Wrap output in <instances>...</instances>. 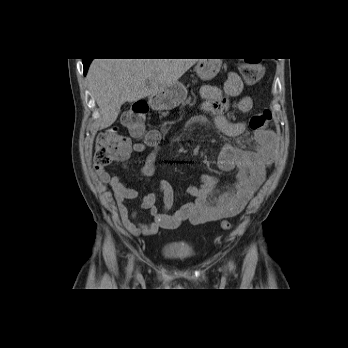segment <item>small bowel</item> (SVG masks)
Listing matches in <instances>:
<instances>
[{
	"label": "small bowel",
	"instance_id": "small-bowel-1",
	"mask_svg": "<svg viewBox=\"0 0 348 348\" xmlns=\"http://www.w3.org/2000/svg\"><path fill=\"white\" fill-rule=\"evenodd\" d=\"M243 83L236 73H229L222 87L204 85L201 89L202 110L213 115L214 124L219 132L228 137H237L246 130V123L230 121L226 112L235 110L239 113H248L252 110L253 102L250 96L242 95ZM205 118H192L188 126L203 125ZM276 135L272 131L259 130L254 135V148L236 149L224 146L218 164L226 172H235L237 182L232 189L220 193L213 200L216 177L204 176L200 185L188 188V194L193 201L181 209L170 213L174 202V193L171 185L161 182L157 191L139 197L136 189L129 187L119 176H111L104 167L96 166V173L100 180L108 184L114 192L120 217L126 230L134 236H148L156 234L159 229H172L188 220L193 225H201L219 221L239 214L247 205L250 198L263 183L266 170L274 160ZM151 148L144 166L140 170L143 177L151 176L155 171V161L160 150L158 143L148 144L138 142L132 145L130 152H144ZM126 163V158L121 160ZM140 199L139 209L130 212L127 202ZM162 200V206L157 205ZM147 212L150 222L138 221L141 212Z\"/></svg>",
	"mask_w": 348,
	"mask_h": 348
}]
</instances>
